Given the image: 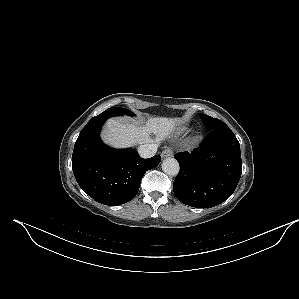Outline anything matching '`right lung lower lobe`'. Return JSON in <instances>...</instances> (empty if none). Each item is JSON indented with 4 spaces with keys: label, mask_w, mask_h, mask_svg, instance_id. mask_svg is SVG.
<instances>
[{
    "label": "right lung lower lobe",
    "mask_w": 299,
    "mask_h": 299,
    "mask_svg": "<svg viewBox=\"0 0 299 299\" xmlns=\"http://www.w3.org/2000/svg\"><path fill=\"white\" fill-rule=\"evenodd\" d=\"M103 112L81 130L72 155V169L81 189L101 204L120 205L138 193L141 179L161 161L160 155L143 159L134 149H110L101 141L102 125L109 117Z\"/></svg>",
    "instance_id": "98d812e1"
}]
</instances>
